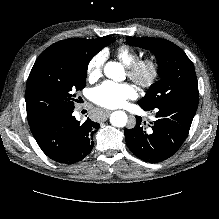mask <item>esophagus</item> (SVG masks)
Returning a JSON list of instances; mask_svg holds the SVG:
<instances>
[{"instance_id": "34e87169", "label": "esophagus", "mask_w": 219, "mask_h": 219, "mask_svg": "<svg viewBox=\"0 0 219 219\" xmlns=\"http://www.w3.org/2000/svg\"><path fill=\"white\" fill-rule=\"evenodd\" d=\"M111 112H112L111 110H105L104 111V116L102 117L103 120H105L110 115Z\"/></svg>"}]
</instances>
